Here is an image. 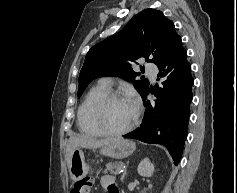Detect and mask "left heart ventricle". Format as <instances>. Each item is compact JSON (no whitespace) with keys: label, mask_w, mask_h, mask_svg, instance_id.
Masks as SVG:
<instances>
[{"label":"left heart ventricle","mask_w":237,"mask_h":193,"mask_svg":"<svg viewBox=\"0 0 237 193\" xmlns=\"http://www.w3.org/2000/svg\"><path fill=\"white\" fill-rule=\"evenodd\" d=\"M135 116V105L130 100L109 102L102 113V123L111 130H122L127 127Z\"/></svg>","instance_id":"left-heart-ventricle-1"}]
</instances>
